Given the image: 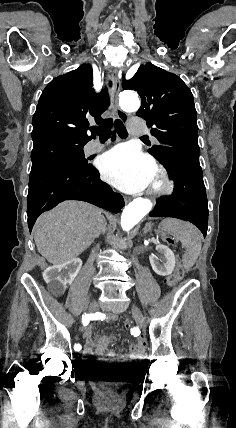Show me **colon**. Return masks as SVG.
<instances>
[{
  "mask_svg": "<svg viewBox=\"0 0 236 428\" xmlns=\"http://www.w3.org/2000/svg\"><path fill=\"white\" fill-rule=\"evenodd\" d=\"M167 242L169 244L174 243L173 239H171V238L167 239ZM183 274H184V270H183L182 266L179 264V265H177L175 271L167 278L166 283L169 286H173L179 279L182 278ZM124 327L127 329L130 328V323L125 322Z\"/></svg>",
  "mask_w": 236,
  "mask_h": 428,
  "instance_id": "colon-1",
  "label": "colon"
}]
</instances>
